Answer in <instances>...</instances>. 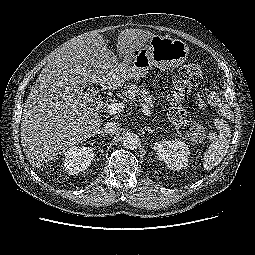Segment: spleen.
Masks as SVG:
<instances>
[{
	"label": "spleen",
	"instance_id": "1",
	"mask_svg": "<svg viewBox=\"0 0 255 255\" xmlns=\"http://www.w3.org/2000/svg\"><path fill=\"white\" fill-rule=\"evenodd\" d=\"M217 128L220 131L218 137L204 153L203 168L205 170H211L217 166L222 161L229 148L231 138L230 126L226 121L221 119L217 123Z\"/></svg>",
	"mask_w": 255,
	"mask_h": 255
}]
</instances>
